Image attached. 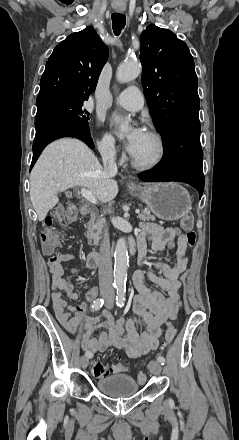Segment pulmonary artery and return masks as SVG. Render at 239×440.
Here are the masks:
<instances>
[{"label":"pulmonary artery","instance_id":"e3ab8cb5","mask_svg":"<svg viewBox=\"0 0 239 440\" xmlns=\"http://www.w3.org/2000/svg\"><path fill=\"white\" fill-rule=\"evenodd\" d=\"M115 102L125 109L132 111H138L144 105L143 97L136 87L126 88L116 97Z\"/></svg>","mask_w":239,"mask_h":440}]
</instances>
